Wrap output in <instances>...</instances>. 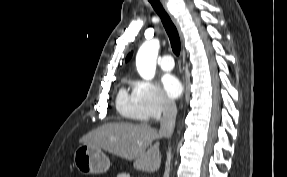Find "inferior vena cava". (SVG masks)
<instances>
[{"label":"inferior vena cava","instance_id":"1","mask_svg":"<svg viewBox=\"0 0 287 177\" xmlns=\"http://www.w3.org/2000/svg\"><path fill=\"white\" fill-rule=\"evenodd\" d=\"M176 115L177 107L174 100L165 98L163 101V116L160 121V137L169 138L172 135L175 127Z\"/></svg>","mask_w":287,"mask_h":177}]
</instances>
